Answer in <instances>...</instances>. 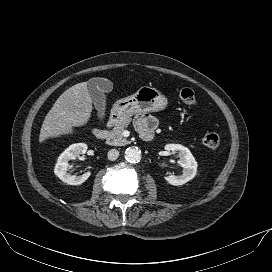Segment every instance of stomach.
<instances>
[{
  "label": "stomach",
  "mask_w": 272,
  "mask_h": 272,
  "mask_svg": "<svg viewBox=\"0 0 272 272\" xmlns=\"http://www.w3.org/2000/svg\"><path fill=\"white\" fill-rule=\"evenodd\" d=\"M167 106V98L157 89L143 86L135 94L118 100L112 107V114L125 120L136 114L161 111Z\"/></svg>",
  "instance_id": "1"
}]
</instances>
